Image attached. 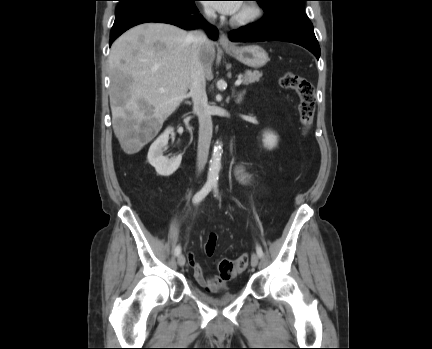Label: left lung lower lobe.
Listing matches in <instances>:
<instances>
[{
	"instance_id": "left-lung-lower-lobe-1",
	"label": "left lung lower lobe",
	"mask_w": 432,
	"mask_h": 349,
	"mask_svg": "<svg viewBox=\"0 0 432 349\" xmlns=\"http://www.w3.org/2000/svg\"><path fill=\"white\" fill-rule=\"evenodd\" d=\"M259 23L230 32L234 42L286 41L301 45L320 57V47L311 21L304 12L272 8Z\"/></svg>"
}]
</instances>
